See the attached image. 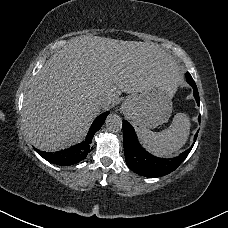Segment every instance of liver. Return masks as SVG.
<instances>
[{"mask_svg": "<svg viewBox=\"0 0 228 228\" xmlns=\"http://www.w3.org/2000/svg\"><path fill=\"white\" fill-rule=\"evenodd\" d=\"M183 74L178 61L154 43L74 37L29 84L23 101L27 136L41 151L65 149L81 142L94 118L117 104L122 92L163 85L173 95Z\"/></svg>", "mask_w": 228, "mask_h": 228, "instance_id": "obj_1", "label": "liver"}]
</instances>
